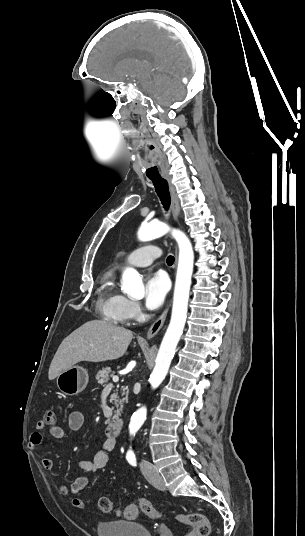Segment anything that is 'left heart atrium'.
Returning a JSON list of instances; mask_svg holds the SVG:
<instances>
[{"label": "left heart atrium", "instance_id": "obj_1", "mask_svg": "<svg viewBox=\"0 0 305 536\" xmlns=\"http://www.w3.org/2000/svg\"><path fill=\"white\" fill-rule=\"evenodd\" d=\"M168 282L162 273L149 274L145 280V305L148 309L159 308L167 294Z\"/></svg>", "mask_w": 305, "mask_h": 536}]
</instances>
